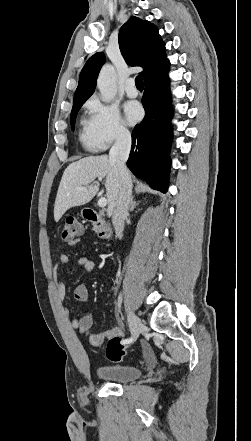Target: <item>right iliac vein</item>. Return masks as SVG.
I'll use <instances>...</instances> for the list:
<instances>
[{
    "mask_svg": "<svg viewBox=\"0 0 251 441\" xmlns=\"http://www.w3.org/2000/svg\"><path fill=\"white\" fill-rule=\"evenodd\" d=\"M127 317H128L129 328L131 331V337L133 339L132 342H134L138 338L142 330V323L140 319L131 310L127 311Z\"/></svg>",
    "mask_w": 251,
    "mask_h": 441,
    "instance_id": "1",
    "label": "right iliac vein"
}]
</instances>
